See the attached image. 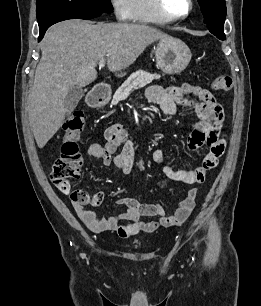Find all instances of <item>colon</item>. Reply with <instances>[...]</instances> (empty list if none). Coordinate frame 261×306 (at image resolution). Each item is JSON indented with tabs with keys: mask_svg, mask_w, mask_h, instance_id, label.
Wrapping results in <instances>:
<instances>
[{
	"mask_svg": "<svg viewBox=\"0 0 261 306\" xmlns=\"http://www.w3.org/2000/svg\"><path fill=\"white\" fill-rule=\"evenodd\" d=\"M233 80L229 75H220L214 82L213 87L216 90L228 91L232 88ZM85 118L82 112H74L65 123V137L61 147L60 156L54 162L50 180L62 192H69V180L76 178L80 174L82 166V156L80 154L77 136L84 128ZM72 201L82 205H98L102 201L101 196L96 192L87 194L83 191H75L71 193Z\"/></svg>",
	"mask_w": 261,
	"mask_h": 306,
	"instance_id": "colon-1",
	"label": "colon"
}]
</instances>
